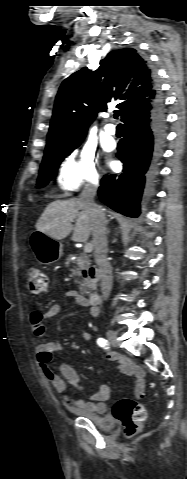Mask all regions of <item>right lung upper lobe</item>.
Listing matches in <instances>:
<instances>
[{"mask_svg":"<svg viewBox=\"0 0 187 479\" xmlns=\"http://www.w3.org/2000/svg\"><path fill=\"white\" fill-rule=\"evenodd\" d=\"M92 72L83 68L61 84L47 135L46 151L71 146L87 133L99 111L117 103L122 120L160 94L154 72L135 49L110 52Z\"/></svg>","mask_w":187,"mask_h":479,"instance_id":"obj_1","label":"right lung upper lobe"}]
</instances>
